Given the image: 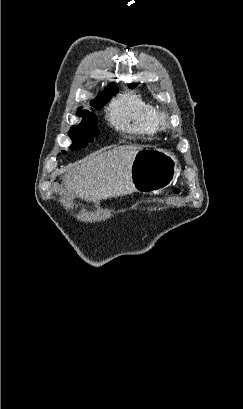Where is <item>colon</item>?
Segmentation results:
<instances>
[{
  "instance_id": "obj_1",
  "label": "colon",
  "mask_w": 243,
  "mask_h": 409,
  "mask_svg": "<svg viewBox=\"0 0 243 409\" xmlns=\"http://www.w3.org/2000/svg\"><path fill=\"white\" fill-rule=\"evenodd\" d=\"M173 193H174L175 195L181 194V188H180V187H176V188L173 190Z\"/></svg>"
}]
</instances>
